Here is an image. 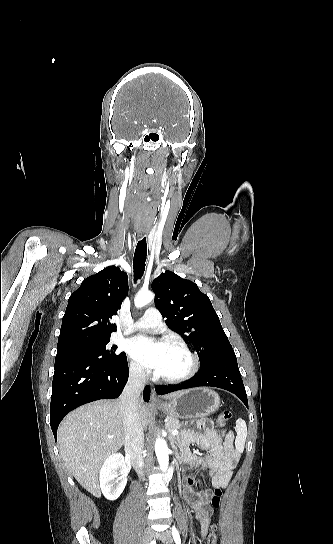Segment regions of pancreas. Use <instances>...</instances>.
I'll return each mask as SVG.
<instances>
[{"label": "pancreas", "mask_w": 333, "mask_h": 544, "mask_svg": "<svg viewBox=\"0 0 333 544\" xmlns=\"http://www.w3.org/2000/svg\"><path fill=\"white\" fill-rule=\"evenodd\" d=\"M165 427L169 431L170 436L173 437V438L178 437V436H174L172 434L173 430L179 431V434H182L185 431L184 429H181V425L179 423V420L177 418L173 417V416H167L166 417Z\"/></svg>", "instance_id": "pancreas-1"}]
</instances>
